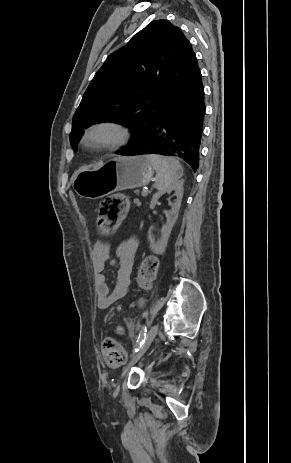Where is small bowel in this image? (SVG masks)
<instances>
[{
    "label": "small bowel",
    "mask_w": 291,
    "mask_h": 463,
    "mask_svg": "<svg viewBox=\"0 0 291 463\" xmlns=\"http://www.w3.org/2000/svg\"><path fill=\"white\" fill-rule=\"evenodd\" d=\"M138 251V241L128 238L116 249L115 258L111 257L109 246L103 242L94 244L91 250L93 287L97 297V308L105 310L114 302L126 296L130 291L131 272ZM110 262L117 269V277L111 288L107 282L105 268Z\"/></svg>",
    "instance_id": "obj_1"
}]
</instances>
